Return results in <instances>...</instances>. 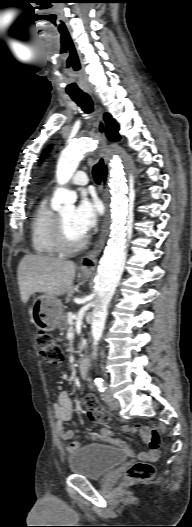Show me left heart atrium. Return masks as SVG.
Masks as SVG:
<instances>
[{
  "mask_svg": "<svg viewBox=\"0 0 192 527\" xmlns=\"http://www.w3.org/2000/svg\"><path fill=\"white\" fill-rule=\"evenodd\" d=\"M98 217L97 203L84 198L73 212V223L83 235H86L95 227Z\"/></svg>",
  "mask_w": 192,
  "mask_h": 527,
  "instance_id": "39dd6f15",
  "label": "left heart atrium"
}]
</instances>
